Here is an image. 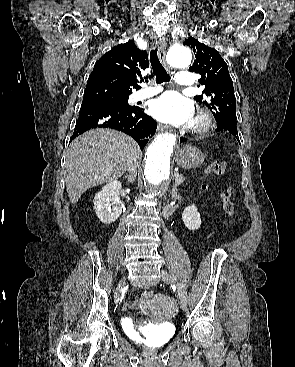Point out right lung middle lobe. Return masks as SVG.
Instances as JSON below:
<instances>
[{
    "instance_id": "obj_1",
    "label": "right lung middle lobe",
    "mask_w": 295,
    "mask_h": 367,
    "mask_svg": "<svg viewBox=\"0 0 295 367\" xmlns=\"http://www.w3.org/2000/svg\"><path fill=\"white\" fill-rule=\"evenodd\" d=\"M128 95L117 94L111 90L101 87L85 89L83 102L85 105H113L128 107Z\"/></svg>"
}]
</instances>
